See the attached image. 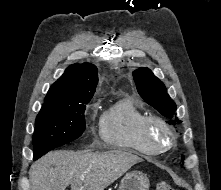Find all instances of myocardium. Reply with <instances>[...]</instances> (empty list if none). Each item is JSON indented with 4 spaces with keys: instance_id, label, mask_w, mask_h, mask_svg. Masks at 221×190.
I'll list each match as a JSON object with an SVG mask.
<instances>
[{
    "instance_id": "obj_1",
    "label": "myocardium",
    "mask_w": 221,
    "mask_h": 190,
    "mask_svg": "<svg viewBox=\"0 0 221 190\" xmlns=\"http://www.w3.org/2000/svg\"><path fill=\"white\" fill-rule=\"evenodd\" d=\"M155 125L159 126L166 134L167 140L165 142L159 143L152 138V129ZM141 131L144 141L155 153L166 151L175 145L176 137L171 126L158 115H147L142 121Z\"/></svg>"
}]
</instances>
